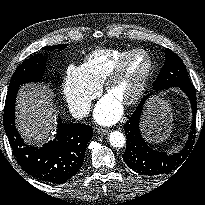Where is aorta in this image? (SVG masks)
<instances>
[{
    "instance_id": "aorta-1",
    "label": "aorta",
    "mask_w": 205,
    "mask_h": 205,
    "mask_svg": "<svg viewBox=\"0 0 205 205\" xmlns=\"http://www.w3.org/2000/svg\"><path fill=\"white\" fill-rule=\"evenodd\" d=\"M109 142L114 148H121L124 147L126 139L123 133L119 131H112L109 134Z\"/></svg>"
}]
</instances>
